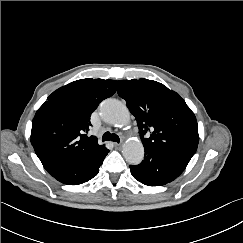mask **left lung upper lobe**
<instances>
[{
	"mask_svg": "<svg viewBox=\"0 0 243 243\" xmlns=\"http://www.w3.org/2000/svg\"><path fill=\"white\" fill-rule=\"evenodd\" d=\"M118 84V94L135 116L144 147L196 152L199 142L197 121L176 92L144 78L119 80Z\"/></svg>",
	"mask_w": 243,
	"mask_h": 243,
	"instance_id": "obj_1",
	"label": "left lung upper lobe"
}]
</instances>
